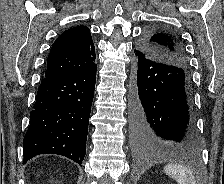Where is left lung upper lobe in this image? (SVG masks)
Instances as JSON below:
<instances>
[{"mask_svg":"<svg viewBox=\"0 0 224 184\" xmlns=\"http://www.w3.org/2000/svg\"><path fill=\"white\" fill-rule=\"evenodd\" d=\"M139 51L151 60L185 70L187 68V59L182 44L175 35L168 31H149L140 42Z\"/></svg>","mask_w":224,"mask_h":184,"instance_id":"1","label":"left lung upper lobe"}]
</instances>
